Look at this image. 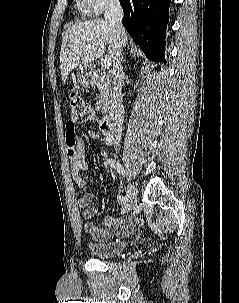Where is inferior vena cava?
Returning <instances> with one entry per match:
<instances>
[{
    "mask_svg": "<svg viewBox=\"0 0 239 303\" xmlns=\"http://www.w3.org/2000/svg\"><path fill=\"white\" fill-rule=\"evenodd\" d=\"M123 10L119 3V0H109L106 5L104 18L115 29L116 36V51L113 64V92L112 99L114 102L115 118H116V132H115V144L119 146L121 140V133L124 123V106L122 100V86L124 71L122 67V47L125 45L127 34L125 28L122 25Z\"/></svg>",
    "mask_w": 239,
    "mask_h": 303,
    "instance_id": "602c4592",
    "label": "inferior vena cava"
}]
</instances>
